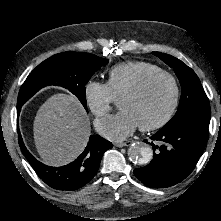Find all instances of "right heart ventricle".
<instances>
[{
    "instance_id": "obj_1",
    "label": "right heart ventricle",
    "mask_w": 221,
    "mask_h": 221,
    "mask_svg": "<svg viewBox=\"0 0 221 221\" xmlns=\"http://www.w3.org/2000/svg\"><path fill=\"white\" fill-rule=\"evenodd\" d=\"M161 71V68L146 61H126L112 66L107 73V85L113 96L119 97L146 75Z\"/></svg>"
}]
</instances>
